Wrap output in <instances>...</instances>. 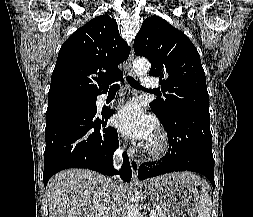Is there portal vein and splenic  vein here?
Segmentation results:
<instances>
[{
	"instance_id": "18ae733b",
	"label": "portal vein and splenic vein",
	"mask_w": 253,
	"mask_h": 217,
	"mask_svg": "<svg viewBox=\"0 0 253 217\" xmlns=\"http://www.w3.org/2000/svg\"><path fill=\"white\" fill-rule=\"evenodd\" d=\"M157 214V211L156 210H151L150 211V217H155Z\"/></svg>"
}]
</instances>
